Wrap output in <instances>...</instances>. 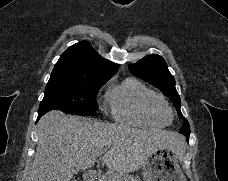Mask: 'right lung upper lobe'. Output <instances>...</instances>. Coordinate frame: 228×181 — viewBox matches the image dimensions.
Listing matches in <instances>:
<instances>
[{
	"instance_id": "obj_1",
	"label": "right lung upper lobe",
	"mask_w": 228,
	"mask_h": 181,
	"mask_svg": "<svg viewBox=\"0 0 228 181\" xmlns=\"http://www.w3.org/2000/svg\"><path fill=\"white\" fill-rule=\"evenodd\" d=\"M119 65L102 58L87 41L69 47L56 63L50 81L88 82L109 80Z\"/></svg>"
}]
</instances>
